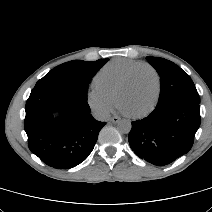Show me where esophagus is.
<instances>
[{
  "label": "esophagus",
  "mask_w": 212,
  "mask_h": 212,
  "mask_svg": "<svg viewBox=\"0 0 212 212\" xmlns=\"http://www.w3.org/2000/svg\"><path fill=\"white\" fill-rule=\"evenodd\" d=\"M119 121H120V118L117 116H114L111 118V122H113V123H118Z\"/></svg>",
  "instance_id": "obj_1"
}]
</instances>
